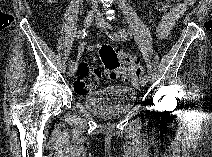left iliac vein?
<instances>
[{
    "mask_svg": "<svg viewBox=\"0 0 212 157\" xmlns=\"http://www.w3.org/2000/svg\"><path fill=\"white\" fill-rule=\"evenodd\" d=\"M96 25L102 29H111V25L102 17H97L96 18ZM146 81L143 78H140L139 80V84L141 86H145L146 85Z\"/></svg>",
    "mask_w": 212,
    "mask_h": 157,
    "instance_id": "obj_1",
    "label": "left iliac vein"
}]
</instances>
